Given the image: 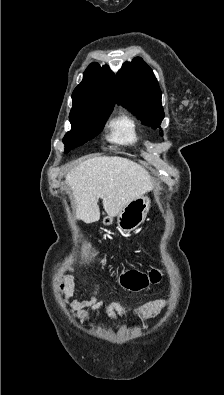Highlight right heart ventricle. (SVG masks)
<instances>
[{"mask_svg":"<svg viewBox=\"0 0 224 395\" xmlns=\"http://www.w3.org/2000/svg\"><path fill=\"white\" fill-rule=\"evenodd\" d=\"M108 139L116 144L130 146L139 141L136 121L127 113H120L109 124Z\"/></svg>","mask_w":224,"mask_h":395,"instance_id":"obj_1","label":"right heart ventricle"}]
</instances>
